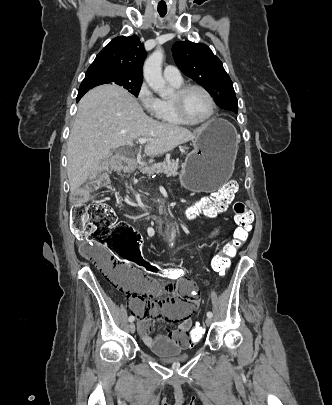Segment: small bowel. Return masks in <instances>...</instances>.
<instances>
[{
    "mask_svg": "<svg viewBox=\"0 0 332 405\" xmlns=\"http://www.w3.org/2000/svg\"><path fill=\"white\" fill-rule=\"evenodd\" d=\"M97 180V172H88L84 184L95 186ZM191 214L195 216L193 212ZM121 289L133 295L129 306L131 312L138 317V329L147 347L157 353H189L190 340L186 338V334L191 332L193 325L190 315L200 306V297H195L192 282L184 279L182 282L162 286L157 281L144 277L139 270L122 267ZM163 292L166 297H160ZM155 318L168 319L173 328H168L167 334L151 337L149 332Z\"/></svg>",
    "mask_w": 332,
    "mask_h": 405,
    "instance_id": "c3829d8e",
    "label": "small bowel"
}]
</instances>
